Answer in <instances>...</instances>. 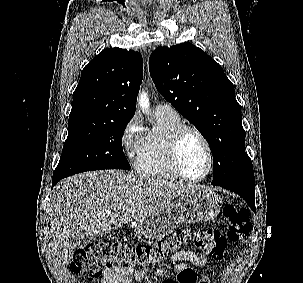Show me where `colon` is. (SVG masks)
Segmentation results:
<instances>
[{
  "instance_id": "colon-1",
  "label": "colon",
  "mask_w": 303,
  "mask_h": 283,
  "mask_svg": "<svg viewBox=\"0 0 303 283\" xmlns=\"http://www.w3.org/2000/svg\"><path fill=\"white\" fill-rule=\"evenodd\" d=\"M222 216L227 224L225 231L188 230L170 240L153 244L131 245L116 240L90 243L74 254L71 262L72 272L83 273L88 280H94L106 270H142L167 260L181 247L189 244L215 260H222L228 244L242 240L252 228L246 208L228 203L222 207ZM198 281L197 272L192 268H185L176 278L166 279L163 283H204L202 280Z\"/></svg>"
}]
</instances>
